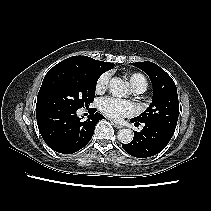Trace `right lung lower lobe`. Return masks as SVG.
Wrapping results in <instances>:
<instances>
[{"instance_id":"98d812e1","label":"right lung lower lobe","mask_w":211,"mask_h":211,"mask_svg":"<svg viewBox=\"0 0 211 211\" xmlns=\"http://www.w3.org/2000/svg\"><path fill=\"white\" fill-rule=\"evenodd\" d=\"M76 111L63 108L36 110L39 131L54 151L72 154L82 149L92 138L97 122L104 118L93 109L88 119L82 121Z\"/></svg>"}]
</instances>
